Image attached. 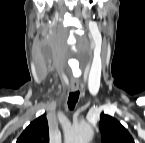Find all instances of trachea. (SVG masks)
<instances>
[{
  "instance_id": "trachea-1",
  "label": "trachea",
  "mask_w": 145,
  "mask_h": 143,
  "mask_svg": "<svg viewBox=\"0 0 145 143\" xmlns=\"http://www.w3.org/2000/svg\"><path fill=\"white\" fill-rule=\"evenodd\" d=\"M79 98V92L75 91V92H71L69 94V98H68V107L69 109L73 110L75 108V105L78 101Z\"/></svg>"
}]
</instances>
